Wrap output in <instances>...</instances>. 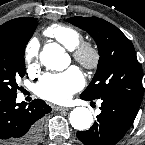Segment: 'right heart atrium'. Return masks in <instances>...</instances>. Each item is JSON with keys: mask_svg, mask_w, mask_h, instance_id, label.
Instances as JSON below:
<instances>
[{"mask_svg": "<svg viewBox=\"0 0 145 145\" xmlns=\"http://www.w3.org/2000/svg\"><path fill=\"white\" fill-rule=\"evenodd\" d=\"M39 42L32 39L26 46L24 51V59L29 68H33L38 62Z\"/></svg>", "mask_w": 145, "mask_h": 145, "instance_id": "1", "label": "right heart atrium"}]
</instances>
